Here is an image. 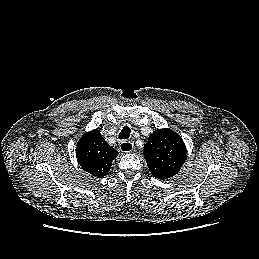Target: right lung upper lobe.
Segmentation results:
<instances>
[{
    "label": "right lung upper lobe",
    "instance_id": "obj_1",
    "mask_svg": "<svg viewBox=\"0 0 259 259\" xmlns=\"http://www.w3.org/2000/svg\"><path fill=\"white\" fill-rule=\"evenodd\" d=\"M77 159L84 171L98 178L107 175L118 151L94 129L81 137L76 147Z\"/></svg>",
    "mask_w": 259,
    "mask_h": 259
}]
</instances>
